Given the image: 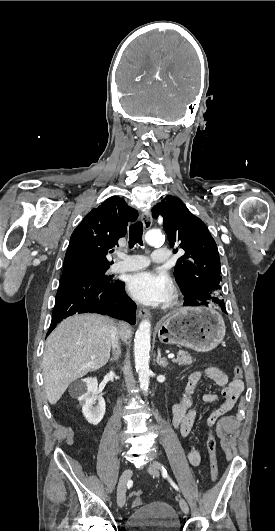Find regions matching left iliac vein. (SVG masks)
Returning <instances> with one entry per match:
<instances>
[{"instance_id": "obj_1", "label": "left iliac vein", "mask_w": 275, "mask_h": 531, "mask_svg": "<svg viewBox=\"0 0 275 531\" xmlns=\"http://www.w3.org/2000/svg\"><path fill=\"white\" fill-rule=\"evenodd\" d=\"M162 468L161 463L158 461H152L148 466V471L153 477H159V470ZM179 505L181 510L185 513H189V505L187 501L183 498H180Z\"/></svg>"}]
</instances>
